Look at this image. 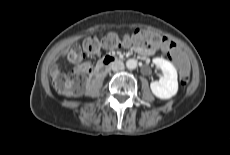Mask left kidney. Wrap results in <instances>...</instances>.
<instances>
[{
	"instance_id": "1",
	"label": "left kidney",
	"mask_w": 230,
	"mask_h": 155,
	"mask_svg": "<svg viewBox=\"0 0 230 155\" xmlns=\"http://www.w3.org/2000/svg\"><path fill=\"white\" fill-rule=\"evenodd\" d=\"M153 63L162 70L163 76L159 81L151 82V91L157 98L170 99L178 91L177 70L163 58H154Z\"/></svg>"
}]
</instances>
